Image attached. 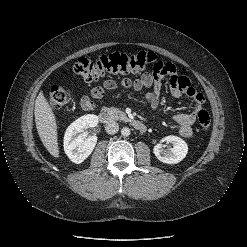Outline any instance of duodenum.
<instances>
[{
  "mask_svg": "<svg viewBox=\"0 0 247 247\" xmlns=\"http://www.w3.org/2000/svg\"><path fill=\"white\" fill-rule=\"evenodd\" d=\"M99 120L103 123H108L112 120V115L110 110L108 109H102L101 112L99 113ZM132 126L141 132L146 131V125L139 121V120H133L131 121Z\"/></svg>",
  "mask_w": 247,
  "mask_h": 247,
  "instance_id": "obj_1",
  "label": "duodenum"
}]
</instances>
